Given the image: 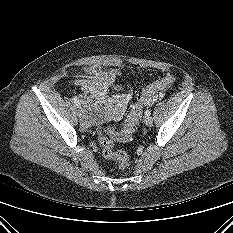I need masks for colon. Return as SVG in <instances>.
Listing matches in <instances>:
<instances>
[{
    "instance_id": "obj_1",
    "label": "colon",
    "mask_w": 233,
    "mask_h": 233,
    "mask_svg": "<svg viewBox=\"0 0 233 233\" xmlns=\"http://www.w3.org/2000/svg\"><path fill=\"white\" fill-rule=\"evenodd\" d=\"M173 75H167L147 86L131 104L130 111L121 129L107 127L99 134L102 155L107 160L116 162L119 170H124L129 163L128 155L121 150H115L113 140L127 142L132 140L140 123L144 106L153 103L162 96V92L175 83Z\"/></svg>"
}]
</instances>
